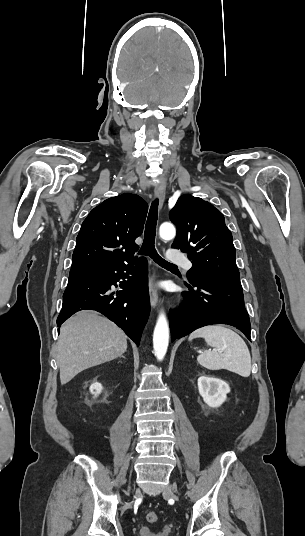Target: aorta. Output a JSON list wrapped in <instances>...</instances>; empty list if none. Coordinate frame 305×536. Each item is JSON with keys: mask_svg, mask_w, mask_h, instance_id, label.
<instances>
[{"mask_svg": "<svg viewBox=\"0 0 305 536\" xmlns=\"http://www.w3.org/2000/svg\"><path fill=\"white\" fill-rule=\"evenodd\" d=\"M176 230L173 224L165 222L161 224L159 235L163 240H171L175 237ZM169 343V325L164 312L158 316L157 323L153 333L154 355L161 361L163 360Z\"/></svg>", "mask_w": 305, "mask_h": 536, "instance_id": "aorta-1", "label": "aorta"}]
</instances>
